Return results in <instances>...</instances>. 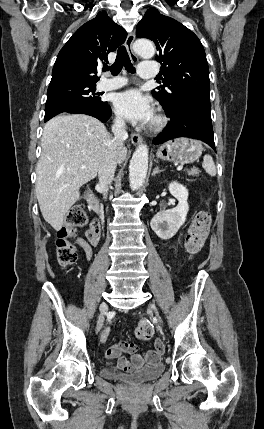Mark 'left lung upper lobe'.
<instances>
[{"label":"left lung upper lobe","instance_id":"obj_1","mask_svg":"<svg viewBox=\"0 0 264 429\" xmlns=\"http://www.w3.org/2000/svg\"><path fill=\"white\" fill-rule=\"evenodd\" d=\"M138 38L152 40L158 51L164 86L152 94L165 110L178 105L182 97L210 100L209 68L198 37L183 24L150 8L137 25Z\"/></svg>","mask_w":264,"mask_h":429}]
</instances>
